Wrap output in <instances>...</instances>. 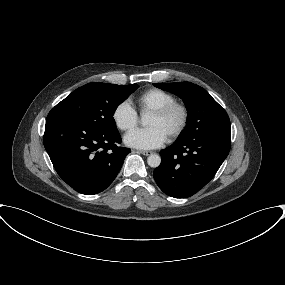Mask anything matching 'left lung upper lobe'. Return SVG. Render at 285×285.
I'll return each instance as SVG.
<instances>
[{"label":"left lung upper lobe","instance_id":"obj_1","mask_svg":"<svg viewBox=\"0 0 285 285\" xmlns=\"http://www.w3.org/2000/svg\"><path fill=\"white\" fill-rule=\"evenodd\" d=\"M154 85L178 95L186 105L187 123L178 140L211 134L231 135L230 120L226 111L202 87L190 82Z\"/></svg>","mask_w":285,"mask_h":285}]
</instances>
